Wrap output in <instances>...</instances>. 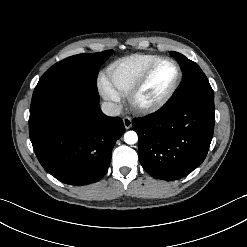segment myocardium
<instances>
[{
  "mask_svg": "<svg viewBox=\"0 0 247 247\" xmlns=\"http://www.w3.org/2000/svg\"><path fill=\"white\" fill-rule=\"evenodd\" d=\"M164 61H169L176 67V79L171 86V88L162 96L149 101V102H143L139 99V94L146 84L149 76L153 72V70L156 68L158 64ZM182 81V70L180 67V64L171 57H160L159 59L152 62L145 71L141 74V76L138 78V80L135 82L133 87L128 92V101L131 104V106L141 112H154L165 106L170 99L173 97L175 92L177 91L180 83Z\"/></svg>",
  "mask_w": 247,
  "mask_h": 247,
  "instance_id": "myocardium-1",
  "label": "myocardium"
}]
</instances>
